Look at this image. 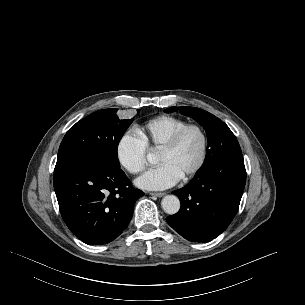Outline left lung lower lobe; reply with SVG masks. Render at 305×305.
Instances as JSON below:
<instances>
[{"label":"left lung lower lobe","instance_id":"1","mask_svg":"<svg viewBox=\"0 0 305 305\" xmlns=\"http://www.w3.org/2000/svg\"><path fill=\"white\" fill-rule=\"evenodd\" d=\"M245 182L242 153L230 154L200 170L187 186L173 192L181 208L166 218L168 224L189 241H211L236 215Z\"/></svg>","mask_w":305,"mask_h":305}]
</instances>
